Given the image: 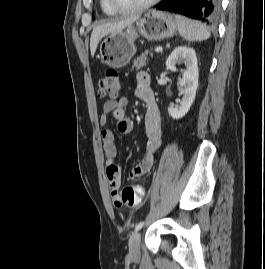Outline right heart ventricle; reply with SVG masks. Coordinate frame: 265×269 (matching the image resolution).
I'll return each mask as SVG.
<instances>
[{
    "instance_id": "e07e8e85",
    "label": "right heart ventricle",
    "mask_w": 265,
    "mask_h": 269,
    "mask_svg": "<svg viewBox=\"0 0 265 269\" xmlns=\"http://www.w3.org/2000/svg\"><path fill=\"white\" fill-rule=\"evenodd\" d=\"M100 7L104 14L106 15H116L118 12H116L110 5L109 0H100Z\"/></svg>"
}]
</instances>
